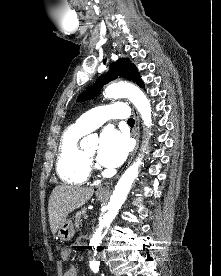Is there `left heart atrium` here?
I'll return each instance as SVG.
<instances>
[{
	"label": "left heart atrium",
	"mask_w": 221,
	"mask_h": 276,
	"mask_svg": "<svg viewBox=\"0 0 221 276\" xmlns=\"http://www.w3.org/2000/svg\"><path fill=\"white\" fill-rule=\"evenodd\" d=\"M129 151L127 137L113 128L105 129L100 137L98 160L106 167H117L124 162Z\"/></svg>",
	"instance_id": "left-heart-atrium-1"
}]
</instances>
